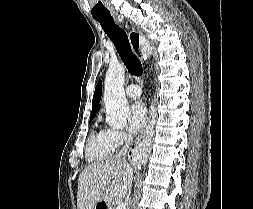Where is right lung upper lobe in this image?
<instances>
[{"instance_id":"cb5924a9","label":"right lung upper lobe","mask_w":253,"mask_h":209,"mask_svg":"<svg viewBox=\"0 0 253 209\" xmlns=\"http://www.w3.org/2000/svg\"><path fill=\"white\" fill-rule=\"evenodd\" d=\"M101 94H102V82L99 81L94 92V97H93V103H92V112H91V118H94L96 115L97 111L96 108L100 102L101 99Z\"/></svg>"}]
</instances>
